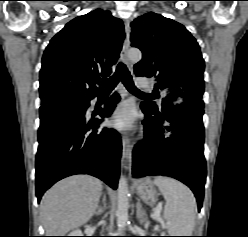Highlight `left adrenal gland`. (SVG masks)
Masks as SVG:
<instances>
[{
    "label": "left adrenal gland",
    "mask_w": 248,
    "mask_h": 237,
    "mask_svg": "<svg viewBox=\"0 0 248 237\" xmlns=\"http://www.w3.org/2000/svg\"><path fill=\"white\" fill-rule=\"evenodd\" d=\"M136 207H137L136 217L140 223H144L147 220V216H146L145 211L142 209V205L139 199L137 201Z\"/></svg>",
    "instance_id": "1"
}]
</instances>
